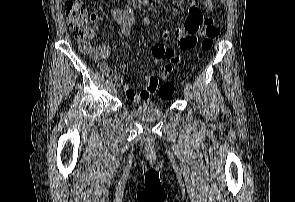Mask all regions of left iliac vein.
<instances>
[{
	"mask_svg": "<svg viewBox=\"0 0 295 202\" xmlns=\"http://www.w3.org/2000/svg\"><path fill=\"white\" fill-rule=\"evenodd\" d=\"M184 96L187 98V99H190L191 98V91L189 88L185 87L184 88Z\"/></svg>",
	"mask_w": 295,
	"mask_h": 202,
	"instance_id": "1",
	"label": "left iliac vein"
}]
</instances>
